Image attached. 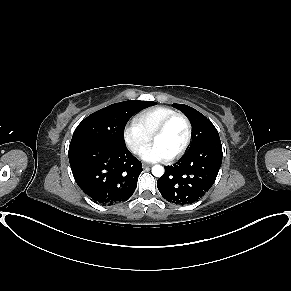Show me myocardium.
Listing matches in <instances>:
<instances>
[{
    "label": "myocardium",
    "mask_w": 291,
    "mask_h": 291,
    "mask_svg": "<svg viewBox=\"0 0 291 291\" xmlns=\"http://www.w3.org/2000/svg\"><path fill=\"white\" fill-rule=\"evenodd\" d=\"M177 118L182 119L186 125V139L182 147L175 154H173L170 159H177L181 157L186 152V150L188 149L191 143L192 125L188 117L182 113L176 112L168 116L166 119H164L163 122L158 126V128L152 134V140L154 141V139L160 136L161 134H163L168 129L169 125Z\"/></svg>",
    "instance_id": "obj_1"
}]
</instances>
